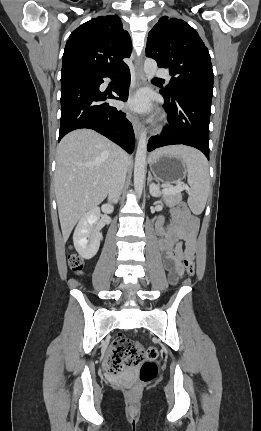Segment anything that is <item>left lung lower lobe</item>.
Masks as SVG:
<instances>
[{"instance_id": "1", "label": "left lung lower lobe", "mask_w": 261, "mask_h": 431, "mask_svg": "<svg viewBox=\"0 0 261 431\" xmlns=\"http://www.w3.org/2000/svg\"><path fill=\"white\" fill-rule=\"evenodd\" d=\"M168 114V124L160 136L149 139L147 149L184 144L199 149L209 160V120L212 92L182 88L173 95L160 90Z\"/></svg>"}]
</instances>
